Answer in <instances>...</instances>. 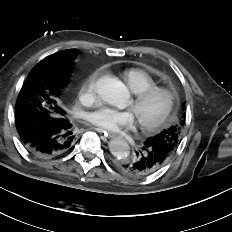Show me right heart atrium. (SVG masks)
I'll use <instances>...</instances> for the list:
<instances>
[{"mask_svg":"<svg viewBox=\"0 0 232 232\" xmlns=\"http://www.w3.org/2000/svg\"><path fill=\"white\" fill-rule=\"evenodd\" d=\"M98 74L93 73L91 74L86 82L83 84L81 88V93L89 96H94L96 93V80H97Z\"/></svg>","mask_w":232,"mask_h":232,"instance_id":"d8ad5b80","label":"right heart atrium"}]
</instances>
